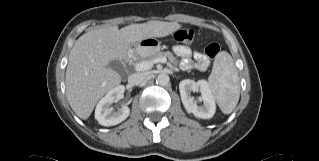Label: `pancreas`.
Returning a JSON list of instances; mask_svg holds the SVG:
<instances>
[{"label":"pancreas","instance_id":"cf45deb5","mask_svg":"<svg viewBox=\"0 0 319 161\" xmlns=\"http://www.w3.org/2000/svg\"><path fill=\"white\" fill-rule=\"evenodd\" d=\"M166 58L168 59L171 63L175 62L176 57L169 51L166 52H158L154 55H152L151 57H149V60H153L155 58Z\"/></svg>","mask_w":319,"mask_h":161}]
</instances>
